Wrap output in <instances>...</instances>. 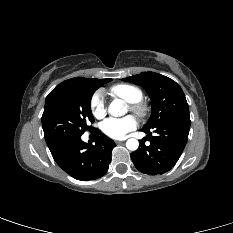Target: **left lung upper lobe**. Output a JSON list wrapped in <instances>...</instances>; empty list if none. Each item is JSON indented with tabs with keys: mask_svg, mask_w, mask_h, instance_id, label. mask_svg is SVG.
<instances>
[{
	"mask_svg": "<svg viewBox=\"0 0 233 233\" xmlns=\"http://www.w3.org/2000/svg\"><path fill=\"white\" fill-rule=\"evenodd\" d=\"M122 80L143 87L151 98L152 114L142 129H152L167 120L189 115L185 95L172 79L155 72H143Z\"/></svg>",
	"mask_w": 233,
	"mask_h": 233,
	"instance_id": "5c2ea615",
	"label": "left lung upper lobe"
}]
</instances>
